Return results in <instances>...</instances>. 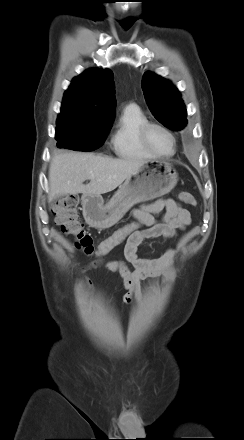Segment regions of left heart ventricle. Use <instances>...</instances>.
<instances>
[{
    "label": "left heart ventricle",
    "mask_w": 244,
    "mask_h": 440,
    "mask_svg": "<svg viewBox=\"0 0 244 440\" xmlns=\"http://www.w3.org/2000/svg\"><path fill=\"white\" fill-rule=\"evenodd\" d=\"M148 143L151 149L158 154L165 155L173 151V142L169 135L157 128L149 131Z\"/></svg>",
    "instance_id": "b2bd125f"
}]
</instances>
